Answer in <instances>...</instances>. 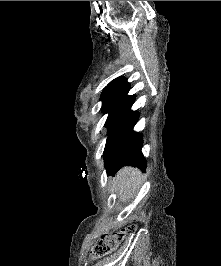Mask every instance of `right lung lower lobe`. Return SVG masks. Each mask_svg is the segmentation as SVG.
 <instances>
[{"label":"right lung lower lobe","mask_w":221,"mask_h":266,"mask_svg":"<svg viewBox=\"0 0 221 266\" xmlns=\"http://www.w3.org/2000/svg\"><path fill=\"white\" fill-rule=\"evenodd\" d=\"M138 117L137 111L129 110L107 140L104 160L108 174L114 175L126 165H132L142 170L146 168L147 164L141 152L142 136L140 133L133 131Z\"/></svg>","instance_id":"1"}]
</instances>
